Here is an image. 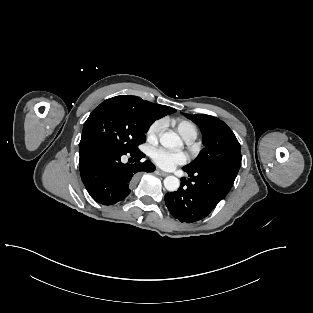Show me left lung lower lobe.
Masks as SVG:
<instances>
[{
  "mask_svg": "<svg viewBox=\"0 0 313 313\" xmlns=\"http://www.w3.org/2000/svg\"><path fill=\"white\" fill-rule=\"evenodd\" d=\"M183 170L190 178H182L178 191L166 193L165 203L175 218L187 223L209 215L228 194L237 176V173L221 169Z\"/></svg>",
  "mask_w": 313,
  "mask_h": 313,
  "instance_id": "obj_1",
  "label": "left lung lower lobe"
}]
</instances>
